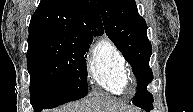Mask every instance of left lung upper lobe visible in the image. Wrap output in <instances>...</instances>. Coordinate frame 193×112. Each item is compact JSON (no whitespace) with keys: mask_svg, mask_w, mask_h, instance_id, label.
I'll return each instance as SVG.
<instances>
[{"mask_svg":"<svg viewBox=\"0 0 193 112\" xmlns=\"http://www.w3.org/2000/svg\"><path fill=\"white\" fill-rule=\"evenodd\" d=\"M105 32L132 66L137 79L133 103L143 109L152 106L153 95L146 87L152 81L149 67L152 54L147 25L139 15L135 0H97Z\"/></svg>","mask_w":193,"mask_h":112,"instance_id":"5c2ea615","label":"left lung upper lobe"}]
</instances>
